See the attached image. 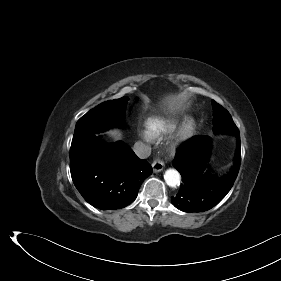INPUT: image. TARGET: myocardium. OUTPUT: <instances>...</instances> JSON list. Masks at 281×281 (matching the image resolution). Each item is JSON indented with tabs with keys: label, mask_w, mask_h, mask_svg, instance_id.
I'll return each instance as SVG.
<instances>
[{
	"label": "myocardium",
	"mask_w": 281,
	"mask_h": 281,
	"mask_svg": "<svg viewBox=\"0 0 281 281\" xmlns=\"http://www.w3.org/2000/svg\"><path fill=\"white\" fill-rule=\"evenodd\" d=\"M196 132V123L192 119L186 120L177 132L172 144L173 149L192 139Z\"/></svg>",
	"instance_id": "myocardium-1"
}]
</instances>
